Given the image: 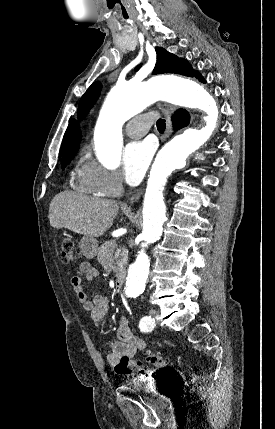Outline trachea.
<instances>
[{
    "instance_id": "1",
    "label": "trachea",
    "mask_w": 275,
    "mask_h": 429,
    "mask_svg": "<svg viewBox=\"0 0 275 429\" xmlns=\"http://www.w3.org/2000/svg\"><path fill=\"white\" fill-rule=\"evenodd\" d=\"M166 128V123L164 119H159L157 121V129L160 133H163L165 131Z\"/></svg>"
}]
</instances>
